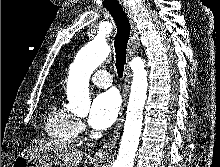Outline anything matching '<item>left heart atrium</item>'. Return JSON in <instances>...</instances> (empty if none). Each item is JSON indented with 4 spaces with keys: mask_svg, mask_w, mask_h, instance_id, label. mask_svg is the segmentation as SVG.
Instances as JSON below:
<instances>
[{
    "mask_svg": "<svg viewBox=\"0 0 220 167\" xmlns=\"http://www.w3.org/2000/svg\"><path fill=\"white\" fill-rule=\"evenodd\" d=\"M121 99L114 90L105 91L94 99L89 115L90 125L98 130L111 126L119 113Z\"/></svg>",
    "mask_w": 220,
    "mask_h": 167,
    "instance_id": "left-heart-atrium-1",
    "label": "left heart atrium"
}]
</instances>
